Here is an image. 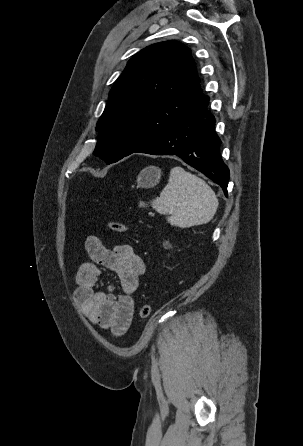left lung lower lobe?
<instances>
[{
	"mask_svg": "<svg viewBox=\"0 0 303 446\" xmlns=\"http://www.w3.org/2000/svg\"><path fill=\"white\" fill-rule=\"evenodd\" d=\"M208 103L209 97L202 94L167 134L135 152L176 155L220 185L227 196L229 169L220 155L222 141Z\"/></svg>",
	"mask_w": 303,
	"mask_h": 446,
	"instance_id": "0a47b994",
	"label": "left lung lower lobe"
}]
</instances>
